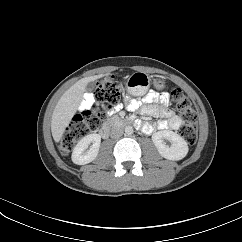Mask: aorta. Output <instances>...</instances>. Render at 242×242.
<instances>
[{
	"label": "aorta",
	"mask_w": 242,
	"mask_h": 242,
	"mask_svg": "<svg viewBox=\"0 0 242 242\" xmlns=\"http://www.w3.org/2000/svg\"><path fill=\"white\" fill-rule=\"evenodd\" d=\"M124 131H125V134H126V135L130 136V135L133 134L134 129H133L132 126H126L125 129H124Z\"/></svg>",
	"instance_id": "762f6f07"
}]
</instances>
